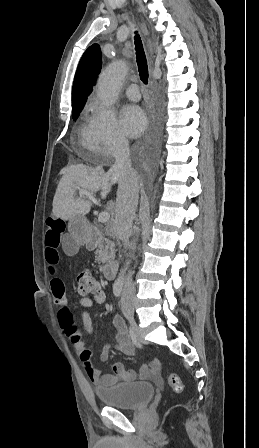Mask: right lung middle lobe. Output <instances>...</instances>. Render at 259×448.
Segmentation results:
<instances>
[{"label":"right lung middle lobe","mask_w":259,"mask_h":448,"mask_svg":"<svg viewBox=\"0 0 259 448\" xmlns=\"http://www.w3.org/2000/svg\"><path fill=\"white\" fill-rule=\"evenodd\" d=\"M81 110H82V109H75V110H72L73 120H76V119L78 118L79 113H80Z\"/></svg>","instance_id":"dd1d6c3e"}]
</instances>
